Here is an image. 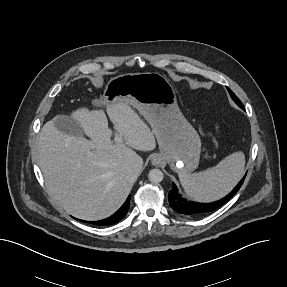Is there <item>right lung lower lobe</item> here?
I'll list each match as a JSON object with an SVG mask.
<instances>
[{"instance_id":"98d812e1","label":"right lung lower lobe","mask_w":287,"mask_h":287,"mask_svg":"<svg viewBox=\"0 0 287 287\" xmlns=\"http://www.w3.org/2000/svg\"><path fill=\"white\" fill-rule=\"evenodd\" d=\"M130 199H131V196L129 195L126 202L123 204V206L114 215H112L106 219L100 220V221H93V222H89V223H92V224L98 225V226H109V225H112V224L119 222L127 214V211H128L129 205H130ZM83 222H87V221H83Z\"/></svg>"}]
</instances>
